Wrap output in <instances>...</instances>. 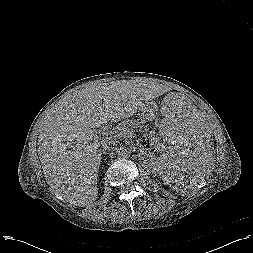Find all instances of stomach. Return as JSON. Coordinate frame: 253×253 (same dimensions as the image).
<instances>
[{"label": "stomach", "instance_id": "stomach-1", "mask_svg": "<svg viewBox=\"0 0 253 253\" xmlns=\"http://www.w3.org/2000/svg\"><path fill=\"white\" fill-rule=\"evenodd\" d=\"M153 104L145 105L139 109V117L142 120H151L154 117Z\"/></svg>", "mask_w": 253, "mask_h": 253}]
</instances>
